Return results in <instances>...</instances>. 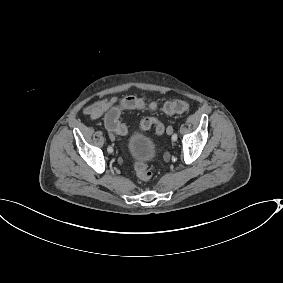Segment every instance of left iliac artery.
<instances>
[{
	"label": "left iliac artery",
	"instance_id": "left-iliac-artery-1",
	"mask_svg": "<svg viewBox=\"0 0 283 283\" xmlns=\"http://www.w3.org/2000/svg\"><path fill=\"white\" fill-rule=\"evenodd\" d=\"M177 138H178L177 133H174V134L172 135V140H173V141H176Z\"/></svg>",
	"mask_w": 283,
	"mask_h": 283
}]
</instances>
